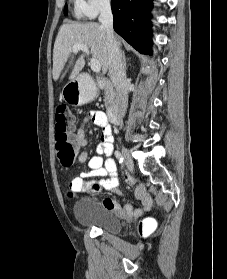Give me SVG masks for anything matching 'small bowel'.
<instances>
[{"mask_svg": "<svg viewBox=\"0 0 227 279\" xmlns=\"http://www.w3.org/2000/svg\"><path fill=\"white\" fill-rule=\"evenodd\" d=\"M93 122L100 127V143L96 147V154L89 156L87 151H81L78 155L80 163H87V167L82 170L79 175L73 177L68 182L69 195L74 193L90 190L95 194L94 187H101L115 196L121 197V192L118 190L119 178L117 176V165L112 158L114 151V138L112 129L108 123L105 113L98 109H90L83 116L80 126L76 132V145L85 147L87 138L85 135V127ZM125 183L131 185L132 178L126 177ZM135 197L139 200L140 206L120 205L113 198H105L101 201L104 208L112 213L119 215H140L143 212L149 211L152 207V198L148 193L145 185L141 184L136 188Z\"/></svg>", "mask_w": 227, "mask_h": 279, "instance_id": "obj_1", "label": "small bowel"}]
</instances>
